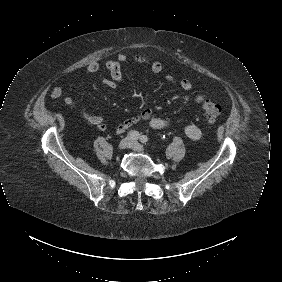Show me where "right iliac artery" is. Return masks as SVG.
<instances>
[{"instance_id": "1", "label": "right iliac artery", "mask_w": 282, "mask_h": 282, "mask_svg": "<svg viewBox=\"0 0 282 282\" xmlns=\"http://www.w3.org/2000/svg\"><path fill=\"white\" fill-rule=\"evenodd\" d=\"M128 135L130 136V138L132 139H138L140 137V134L138 131H135V130H131L128 132Z\"/></svg>"}]
</instances>
